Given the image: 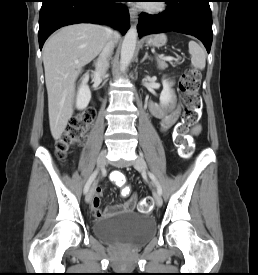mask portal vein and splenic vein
Wrapping results in <instances>:
<instances>
[{"instance_id":"portal-vein-and-splenic-vein-1","label":"portal vein and splenic vein","mask_w":258,"mask_h":275,"mask_svg":"<svg viewBox=\"0 0 258 275\" xmlns=\"http://www.w3.org/2000/svg\"><path fill=\"white\" fill-rule=\"evenodd\" d=\"M160 58L162 60H166V61H172V60H174V57H172V56H163V55H161Z\"/></svg>"}]
</instances>
